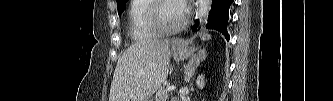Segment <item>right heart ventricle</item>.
<instances>
[{"instance_id": "obj_1", "label": "right heart ventricle", "mask_w": 333, "mask_h": 101, "mask_svg": "<svg viewBox=\"0 0 333 101\" xmlns=\"http://www.w3.org/2000/svg\"><path fill=\"white\" fill-rule=\"evenodd\" d=\"M152 0H134L129 11V33L138 42L155 39L157 34L152 31L146 21L147 11Z\"/></svg>"}]
</instances>
